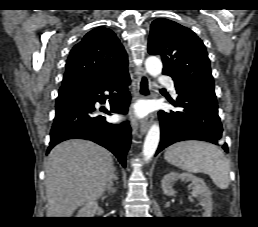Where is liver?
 Instances as JSON below:
<instances>
[{
    "mask_svg": "<svg viewBox=\"0 0 258 227\" xmlns=\"http://www.w3.org/2000/svg\"><path fill=\"white\" fill-rule=\"evenodd\" d=\"M114 170L111 154L86 140L55 146L45 162L47 217H71L107 189Z\"/></svg>",
    "mask_w": 258,
    "mask_h": 227,
    "instance_id": "obj_1",
    "label": "liver"
}]
</instances>
